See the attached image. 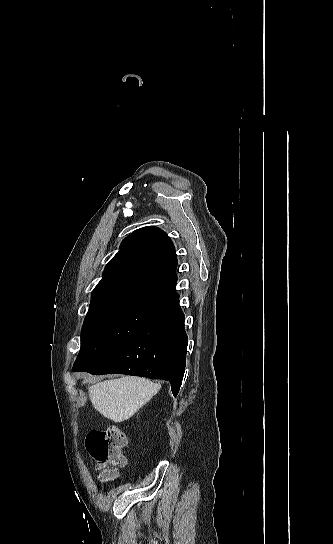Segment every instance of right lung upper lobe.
I'll use <instances>...</instances> for the list:
<instances>
[{"mask_svg":"<svg viewBox=\"0 0 333 544\" xmlns=\"http://www.w3.org/2000/svg\"><path fill=\"white\" fill-rule=\"evenodd\" d=\"M174 245L157 227H144L126 237L92 291L91 303L145 297L169 303L179 300Z\"/></svg>","mask_w":333,"mask_h":544,"instance_id":"obj_1","label":"right lung upper lobe"}]
</instances>
